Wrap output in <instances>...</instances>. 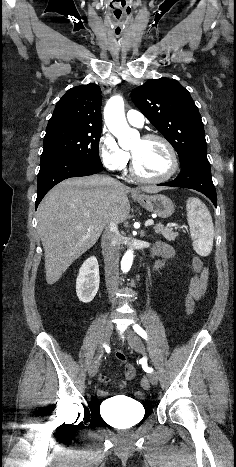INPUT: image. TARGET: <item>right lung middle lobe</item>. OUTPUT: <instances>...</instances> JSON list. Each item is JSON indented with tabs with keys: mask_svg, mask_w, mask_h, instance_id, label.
Segmentation results:
<instances>
[{
	"mask_svg": "<svg viewBox=\"0 0 236 467\" xmlns=\"http://www.w3.org/2000/svg\"><path fill=\"white\" fill-rule=\"evenodd\" d=\"M102 128L54 126L46 129L41 163L56 157H75L102 166L99 139Z\"/></svg>",
	"mask_w": 236,
	"mask_h": 467,
	"instance_id": "right-lung-middle-lobe-1",
	"label": "right lung middle lobe"
}]
</instances>
